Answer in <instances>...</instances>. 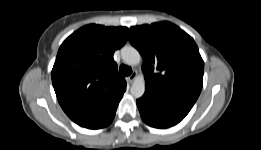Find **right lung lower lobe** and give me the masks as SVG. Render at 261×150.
Segmentation results:
<instances>
[{
	"instance_id": "right-lung-lower-lobe-1",
	"label": "right lung lower lobe",
	"mask_w": 261,
	"mask_h": 150,
	"mask_svg": "<svg viewBox=\"0 0 261 150\" xmlns=\"http://www.w3.org/2000/svg\"><path fill=\"white\" fill-rule=\"evenodd\" d=\"M118 104H116L115 106H113L105 115H103L101 118L95 120L94 122L83 126L89 129H100L103 127L108 126L112 120L114 119L115 113H116V109H117Z\"/></svg>"
}]
</instances>
